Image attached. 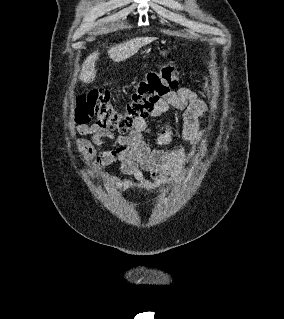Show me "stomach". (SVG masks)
<instances>
[{
  "mask_svg": "<svg viewBox=\"0 0 284 319\" xmlns=\"http://www.w3.org/2000/svg\"><path fill=\"white\" fill-rule=\"evenodd\" d=\"M162 55H166L167 51L163 50L160 52Z\"/></svg>",
  "mask_w": 284,
  "mask_h": 319,
  "instance_id": "stomach-1",
  "label": "stomach"
}]
</instances>
